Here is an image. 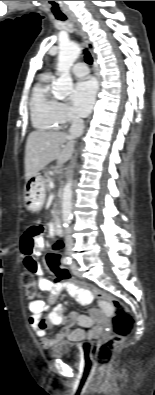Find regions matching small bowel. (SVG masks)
<instances>
[{
    "mask_svg": "<svg viewBox=\"0 0 155 395\" xmlns=\"http://www.w3.org/2000/svg\"><path fill=\"white\" fill-rule=\"evenodd\" d=\"M42 230L38 227L29 229L20 240V250L23 255L24 265H26V259H31V265L29 269L38 278L41 289L48 292L47 301L35 299L29 302L28 308L31 312L29 317V324L35 331L36 335L40 338V342L43 348H51L57 342L68 339L70 341H82L86 338L94 337L100 333L103 329L102 324H98L92 330L86 331L85 328H90L94 324L93 318L84 315L72 314L68 321L67 326L62 328L60 332L54 338L46 337L47 331L50 327L60 325L63 321V307L61 305L55 306L48 314L46 318L43 317V313L48 308L55 304L59 295L66 290L72 295L79 303L86 305L92 301L95 294L87 291V288H81L80 285L64 283L63 287L61 283H53L48 280L44 275L41 266L37 261V257L41 253L44 245L40 238ZM99 301V298H96ZM98 310L103 311L104 315H111L113 310L112 304L98 305ZM100 323H103V316L99 312H94ZM78 324L80 328L72 329V326Z\"/></svg>",
    "mask_w": 155,
    "mask_h": 395,
    "instance_id": "obj_1",
    "label": "small bowel"
}]
</instances>
